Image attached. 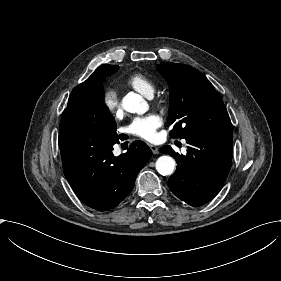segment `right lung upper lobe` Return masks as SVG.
<instances>
[{"mask_svg": "<svg viewBox=\"0 0 281 281\" xmlns=\"http://www.w3.org/2000/svg\"><path fill=\"white\" fill-rule=\"evenodd\" d=\"M118 68L119 66L116 65L103 64L98 67L85 82L76 86V89L81 87L94 86L99 90L98 96H96L95 98H100V94L103 91L102 82L104 78L110 74L115 73Z\"/></svg>", "mask_w": 281, "mask_h": 281, "instance_id": "1", "label": "right lung upper lobe"}]
</instances>
